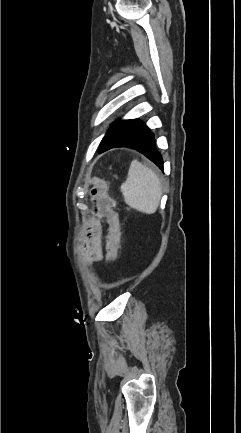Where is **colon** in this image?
Segmentation results:
<instances>
[{
    "label": "colon",
    "mask_w": 241,
    "mask_h": 433,
    "mask_svg": "<svg viewBox=\"0 0 241 433\" xmlns=\"http://www.w3.org/2000/svg\"><path fill=\"white\" fill-rule=\"evenodd\" d=\"M92 196L95 202V211L103 216L109 226L108 237V258L114 262L120 251V223L118 216L113 211L115 201L109 193V186L106 182H98L92 190Z\"/></svg>",
    "instance_id": "1"
}]
</instances>
